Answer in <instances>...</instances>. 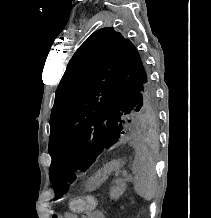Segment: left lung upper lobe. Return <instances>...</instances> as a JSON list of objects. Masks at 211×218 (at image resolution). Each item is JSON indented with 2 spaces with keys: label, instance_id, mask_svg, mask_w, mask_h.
Listing matches in <instances>:
<instances>
[{
  "label": "left lung upper lobe",
  "instance_id": "1",
  "mask_svg": "<svg viewBox=\"0 0 211 218\" xmlns=\"http://www.w3.org/2000/svg\"><path fill=\"white\" fill-rule=\"evenodd\" d=\"M156 116L154 89L136 47L111 27L94 32L56 90L48 146L56 198L66 193L67 178L76 179L74 171H86L103 150Z\"/></svg>",
  "mask_w": 211,
  "mask_h": 218
}]
</instances>
